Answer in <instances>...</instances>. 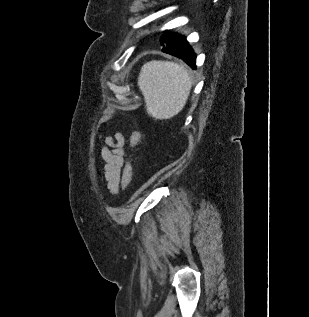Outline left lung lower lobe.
<instances>
[{"label": "left lung lower lobe", "mask_w": 309, "mask_h": 317, "mask_svg": "<svg viewBox=\"0 0 309 317\" xmlns=\"http://www.w3.org/2000/svg\"><path fill=\"white\" fill-rule=\"evenodd\" d=\"M162 51L176 56L184 60L189 66L196 68V55L188 44L185 36L179 35L171 42L166 43Z\"/></svg>", "instance_id": "0a47b994"}]
</instances>
